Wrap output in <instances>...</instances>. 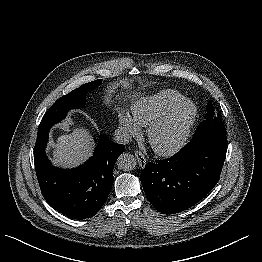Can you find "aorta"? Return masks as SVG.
<instances>
[{"label": "aorta", "instance_id": "obj_1", "mask_svg": "<svg viewBox=\"0 0 262 262\" xmlns=\"http://www.w3.org/2000/svg\"><path fill=\"white\" fill-rule=\"evenodd\" d=\"M118 168L124 171H130L136 166V159L134 155L129 153L121 154L117 159Z\"/></svg>", "mask_w": 262, "mask_h": 262}]
</instances>
